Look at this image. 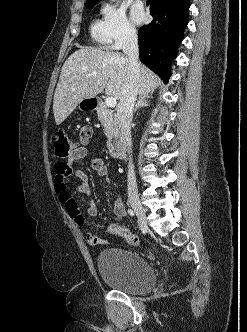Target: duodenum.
<instances>
[{
  "mask_svg": "<svg viewBox=\"0 0 247 332\" xmlns=\"http://www.w3.org/2000/svg\"><path fill=\"white\" fill-rule=\"evenodd\" d=\"M91 106L93 109L98 110L103 108V103L100 100L97 99H93L91 101ZM108 147H109V151L110 154L113 157L116 158H120L123 155L124 152V146H123V141H122V137L119 133H114L108 142Z\"/></svg>",
  "mask_w": 247,
  "mask_h": 332,
  "instance_id": "410a0bca",
  "label": "duodenum"
}]
</instances>
